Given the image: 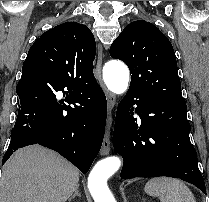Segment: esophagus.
<instances>
[{
	"mask_svg": "<svg viewBox=\"0 0 209 202\" xmlns=\"http://www.w3.org/2000/svg\"><path fill=\"white\" fill-rule=\"evenodd\" d=\"M102 56H103V50L102 46L98 45V51H97V64H96V75L99 78V81L102 85V88L105 92L106 98H107V104H108V115H107V121H106V130L105 135L102 143V147L100 150L101 155H107L110 152V132H111V126L113 122V110L115 107V95L111 93L103 84L101 79V68H102Z\"/></svg>",
	"mask_w": 209,
	"mask_h": 202,
	"instance_id": "esophagus-1",
	"label": "esophagus"
}]
</instances>
